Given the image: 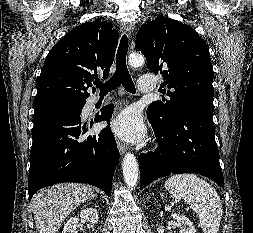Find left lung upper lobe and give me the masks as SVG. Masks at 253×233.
<instances>
[{
  "label": "left lung upper lobe",
  "instance_id": "left-lung-upper-lobe-1",
  "mask_svg": "<svg viewBox=\"0 0 253 233\" xmlns=\"http://www.w3.org/2000/svg\"><path fill=\"white\" fill-rule=\"evenodd\" d=\"M135 43L146 57L148 70L160 72L163 85L174 89L167 92L169 99L155 101L147 109L158 124L169 127L178 113L195 108L213 111L209 50L194 29L157 16L139 28Z\"/></svg>",
  "mask_w": 253,
  "mask_h": 233
}]
</instances>
